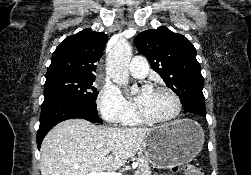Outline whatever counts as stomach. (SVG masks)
Returning a JSON list of instances; mask_svg holds the SVG:
<instances>
[{"label":"stomach","instance_id":"0dacf381","mask_svg":"<svg viewBox=\"0 0 251 175\" xmlns=\"http://www.w3.org/2000/svg\"><path fill=\"white\" fill-rule=\"evenodd\" d=\"M204 141V131L198 121L176 119L147 131L143 153L157 167L183 165L198 155Z\"/></svg>","mask_w":251,"mask_h":175}]
</instances>
